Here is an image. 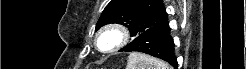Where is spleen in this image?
Listing matches in <instances>:
<instances>
[{
	"mask_svg": "<svg viewBox=\"0 0 246 69\" xmlns=\"http://www.w3.org/2000/svg\"><path fill=\"white\" fill-rule=\"evenodd\" d=\"M126 69H171V67L149 55L132 52L128 56Z\"/></svg>",
	"mask_w": 246,
	"mask_h": 69,
	"instance_id": "1",
	"label": "spleen"
}]
</instances>
